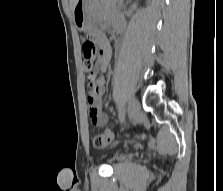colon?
<instances>
[{
    "label": "colon",
    "instance_id": "obj_1",
    "mask_svg": "<svg viewBox=\"0 0 223 191\" xmlns=\"http://www.w3.org/2000/svg\"><path fill=\"white\" fill-rule=\"evenodd\" d=\"M98 57V48L96 44L88 39L83 43V69L87 76L88 86L92 89L96 87L94 73L95 63ZM143 139L142 135L137 137ZM113 140V135L106 130L103 133L97 134L93 139V144L96 148H104L108 146Z\"/></svg>",
    "mask_w": 223,
    "mask_h": 191
}]
</instances>
